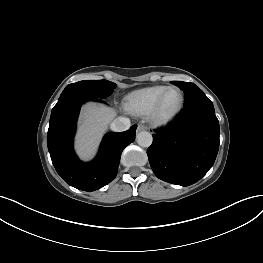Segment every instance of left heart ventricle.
I'll return each mask as SVG.
<instances>
[{
  "label": "left heart ventricle",
  "instance_id": "obj_1",
  "mask_svg": "<svg viewBox=\"0 0 263 263\" xmlns=\"http://www.w3.org/2000/svg\"><path fill=\"white\" fill-rule=\"evenodd\" d=\"M180 103V94L173 90L171 91L165 101H164V105H163V112L164 113H169L171 111H173Z\"/></svg>",
  "mask_w": 263,
  "mask_h": 263
}]
</instances>
